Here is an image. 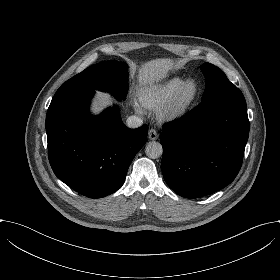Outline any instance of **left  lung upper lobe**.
<instances>
[{
	"instance_id": "1",
	"label": "left lung upper lobe",
	"mask_w": 280,
	"mask_h": 280,
	"mask_svg": "<svg viewBox=\"0 0 280 280\" xmlns=\"http://www.w3.org/2000/svg\"><path fill=\"white\" fill-rule=\"evenodd\" d=\"M200 68L206 80L205 91L201 102L237 89L236 86L228 80L224 72L217 66L210 63H204Z\"/></svg>"
}]
</instances>
